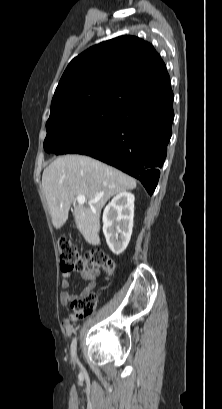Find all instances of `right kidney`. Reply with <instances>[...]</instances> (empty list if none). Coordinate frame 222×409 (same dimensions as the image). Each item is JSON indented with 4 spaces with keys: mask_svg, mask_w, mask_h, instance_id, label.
<instances>
[{
    "mask_svg": "<svg viewBox=\"0 0 222 409\" xmlns=\"http://www.w3.org/2000/svg\"><path fill=\"white\" fill-rule=\"evenodd\" d=\"M134 200L132 193L121 192L109 202L103 212V233L110 250L116 255L127 248L131 238Z\"/></svg>",
    "mask_w": 222,
    "mask_h": 409,
    "instance_id": "ca27d5eb",
    "label": "right kidney"
}]
</instances>
